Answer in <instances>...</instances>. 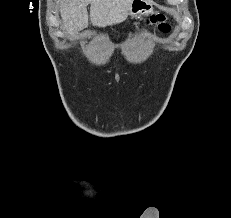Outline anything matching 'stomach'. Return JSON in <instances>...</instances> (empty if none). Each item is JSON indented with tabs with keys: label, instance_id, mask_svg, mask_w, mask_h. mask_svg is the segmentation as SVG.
I'll return each mask as SVG.
<instances>
[{
	"label": "stomach",
	"instance_id": "1",
	"mask_svg": "<svg viewBox=\"0 0 231 218\" xmlns=\"http://www.w3.org/2000/svg\"><path fill=\"white\" fill-rule=\"evenodd\" d=\"M153 12L152 0H133L128 15L133 18L148 15Z\"/></svg>",
	"mask_w": 231,
	"mask_h": 218
}]
</instances>
